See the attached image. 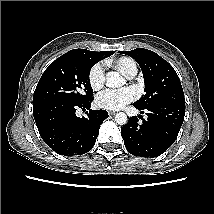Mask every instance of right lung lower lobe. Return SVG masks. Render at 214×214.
<instances>
[{
    "mask_svg": "<svg viewBox=\"0 0 214 214\" xmlns=\"http://www.w3.org/2000/svg\"><path fill=\"white\" fill-rule=\"evenodd\" d=\"M93 98L87 101H51L33 107L34 119L42 139L57 154L81 155L89 152L108 117L105 110H91ZM81 108L87 117H77Z\"/></svg>",
    "mask_w": 214,
    "mask_h": 214,
    "instance_id": "98d812e1",
    "label": "right lung lower lobe"
}]
</instances>
